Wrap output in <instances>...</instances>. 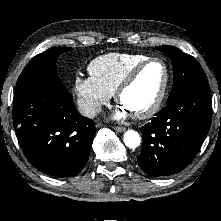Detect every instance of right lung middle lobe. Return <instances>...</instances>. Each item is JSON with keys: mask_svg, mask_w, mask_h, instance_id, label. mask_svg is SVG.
Masks as SVG:
<instances>
[{"mask_svg": "<svg viewBox=\"0 0 221 221\" xmlns=\"http://www.w3.org/2000/svg\"><path fill=\"white\" fill-rule=\"evenodd\" d=\"M70 50L68 47H52L36 55L19 76L13 102L39 90L68 92L57 75L56 61L60 54Z\"/></svg>", "mask_w": 221, "mask_h": 221, "instance_id": "right-lung-middle-lobe-1", "label": "right lung middle lobe"}]
</instances>
